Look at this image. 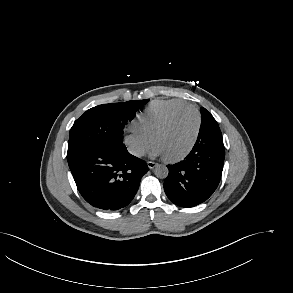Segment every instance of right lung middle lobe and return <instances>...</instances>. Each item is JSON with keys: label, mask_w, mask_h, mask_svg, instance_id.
I'll list each match as a JSON object with an SVG mask.
<instances>
[{"label": "right lung middle lobe", "mask_w": 293, "mask_h": 293, "mask_svg": "<svg viewBox=\"0 0 293 293\" xmlns=\"http://www.w3.org/2000/svg\"><path fill=\"white\" fill-rule=\"evenodd\" d=\"M148 101L103 104L87 110L70 130L67 160L98 146L123 143L126 122L132 120L136 111Z\"/></svg>", "instance_id": "obj_1"}]
</instances>
